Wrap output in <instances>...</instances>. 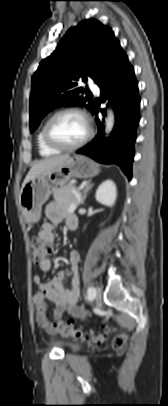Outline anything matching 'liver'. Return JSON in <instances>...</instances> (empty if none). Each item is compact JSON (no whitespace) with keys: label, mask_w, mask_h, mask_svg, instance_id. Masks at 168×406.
Returning a JSON list of instances; mask_svg holds the SVG:
<instances>
[{"label":"liver","mask_w":168,"mask_h":406,"mask_svg":"<svg viewBox=\"0 0 168 406\" xmlns=\"http://www.w3.org/2000/svg\"><path fill=\"white\" fill-rule=\"evenodd\" d=\"M69 158H70L69 154H64V155L49 157V158H46V159H43V160H40V161L34 163L33 166L31 167L30 171L28 172L26 178L24 179L22 187L26 183H28L30 180H33L34 178L41 176V175L49 174L52 171L62 167L63 164Z\"/></svg>","instance_id":"liver-1"}]
</instances>
